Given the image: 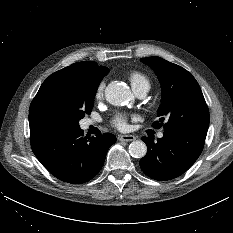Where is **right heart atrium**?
Segmentation results:
<instances>
[{
    "mask_svg": "<svg viewBox=\"0 0 233 233\" xmlns=\"http://www.w3.org/2000/svg\"><path fill=\"white\" fill-rule=\"evenodd\" d=\"M104 88H105V84L104 82H100L97 86L96 92H95V98L96 99H101L103 97L104 94Z\"/></svg>",
    "mask_w": 233,
    "mask_h": 233,
    "instance_id": "obj_1",
    "label": "right heart atrium"
}]
</instances>
